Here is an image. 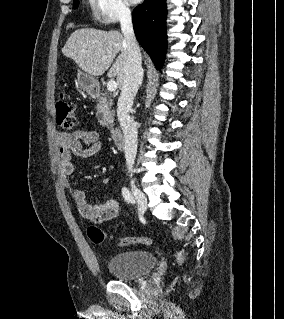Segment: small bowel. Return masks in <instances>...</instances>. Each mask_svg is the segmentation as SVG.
<instances>
[{
    "mask_svg": "<svg viewBox=\"0 0 284 319\" xmlns=\"http://www.w3.org/2000/svg\"><path fill=\"white\" fill-rule=\"evenodd\" d=\"M58 143L60 169L65 177L74 172V158H89L102 149L99 134L88 129H79L72 133H59ZM72 193L79 214L87 221L96 224L107 222L117 218L122 211L121 203L117 197L90 204L82 190L73 188Z\"/></svg>",
    "mask_w": 284,
    "mask_h": 319,
    "instance_id": "small-bowel-1",
    "label": "small bowel"
}]
</instances>
